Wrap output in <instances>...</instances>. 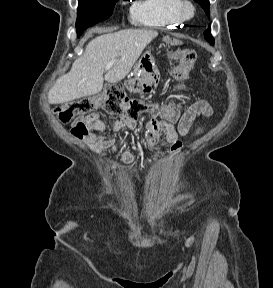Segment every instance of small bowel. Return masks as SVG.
<instances>
[{
	"mask_svg": "<svg viewBox=\"0 0 273 288\" xmlns=\"http://www.w3.org/2000/svg\"><path fill=\"white\" fill-rule=\"evenodd\" d=\"M142 111H138L135 115H123L116 119L112 130L118 132L123 129L133 130L136 128L137 120L140 118ZM199 115L204 117H211L213 115V108L205 99H198L189 105L182 114L177 126L171 121H161L157 119H149L147 121L146 142L149 147H154L162 138L168 141L173 152L181 150L183 144L179 140V136L184 137L188 134L189 129ZM91 122V127L87 135L81 139L95 152L99 154H107L115 152L117 145L113 138L100 135L105 131V124L98 119L96 115H91L85 118ZM207 130L206 127L199 128L194 137L203 134ZM133 156L129 152H124L122 160L125 163L131 162Z\"/></svg>",
	"mask_w": 273,
	"mask_h": 288,
	"instance_id": "c3829d8e",
	"label": "small bowel"
}]
</instances>
